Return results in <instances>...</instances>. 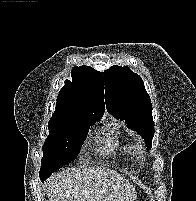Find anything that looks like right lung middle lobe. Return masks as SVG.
Listing matches in <instances>:
<instances>
[{
	"mask_svg": "<svg viewBox=\"0 0 196 201\" xmlns=\"http://www.w3.org/2000/svg\"><path fill=\"white\" fill-rule=\"evenodd\" d=\"M100 118L82 113H67L50 119L49 136L43 145L39 174L41 181L78 156L87 137L89 125Z\"/></svg>",
	"mask_w": 196,
	"mask_h": 201,
	"instance_id": "obj_1",
	"label": "right lung middle lobe"
}]
</instances>
